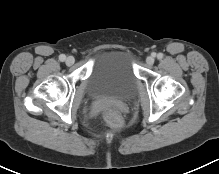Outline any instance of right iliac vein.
<instances>
[{"label": "right iliac vein", "mask_w": 219, "mask_h": 174, "mask_svg": "<svg viewBox=\"0 0 219 174\" xmlns=\"http://www.w3.org/2000/svg\"><path fill=\"white\" fill-rule=\"evenodd\" d=\"M66 64L68 65V66H71L74 62H75V59H74V57H72V56H69V57H67L66 58Z\"/></svg>", "instance_id": "obj_1"}]
</instances>
